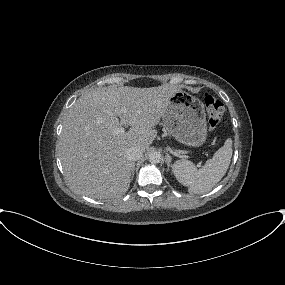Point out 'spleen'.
<instances>
[{
	"instance_id": "spleen-1",
	"label": "spleen",
	"mask_w": 285,
	"mask_h": 285,
	"mask_svg": "<svg viewBox=\"0 0 285 285\" xmlns=\"http://www.w3.org/2000/svg\"><path fill=\"white\" fill-rule=\"evenodd\" d=\"M232 140L229 138L205 165L198 169L188 160H179L173 164L176 179L188 187L190 194L209 192L226 174L232 157Z\"/></svg>"
}]
</instances>
